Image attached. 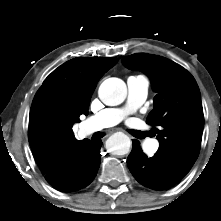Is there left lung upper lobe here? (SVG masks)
Listing matches in <instances>:
<instances>
[{"label":"left lung upper lobe","mask_w":221,"mask_h":221,"mask_svg":"<svg viewBox=\"0 0 221 221\" xmlns=\"http://www.w3.org/2000/svg\"><path fill=\"white\" fill-rule=\"evenodd\" d=\"M123 64L143 71L151 79L156 96L146 122L158 126L152 129L160 143L156 154L183 178L198 157L204 127L195 79L177 63L153 54L136 53L126 57Z\"/></svg>","instance_id":"left-lung-upper-lobe-1"}]
</instances>
